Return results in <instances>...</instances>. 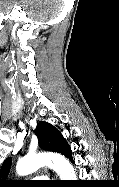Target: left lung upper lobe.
Listing matches in <instances>:
<instances>
[{
	"label": "left lung upper lobe",
	"instance_id": "5c2ea615",
	"mask_svg": "<svg viewBox=\"0 0 119 187\" xmlns=\"http://www.w3.org/2000/svg\"><path fill=\"white\" fill-rule=\"evenodd\" d=\"M35 134L39 140V146L47 151L57 152L66 155L70 150L68 143L62 134L51 124L39 122ZM11 167V158H7L0 170V187L13 185L15 182L6 180Z\"/></svg>",
	"mask_w": 119,
	"mask_h": 187
}]
</instances>
